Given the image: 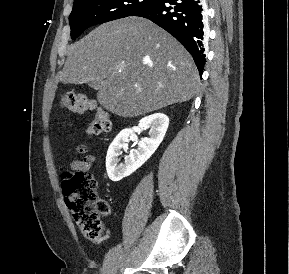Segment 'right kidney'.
<instances>
[{"label": "right kidney", "instance_id": "1", "mask_svg": "<svg viewBox=\"0 0 289 274\" xmlns=\"http://www.w3.org/2000/svg\"><path fill=\"white\" fill-rule=\"evenodd\" d=\"M169 126V118L163 113H154L142 118L137 126L123 129L113 140L106 156V170L112 181H120L140 168L157 150L163 141ZM150 129L149 136L138 142V148L133 149L125 158V163H120L119 156L126 143L135 132Z\"/></svg>", "mask_w": 289, "mask_h": 274}]
</instances>
